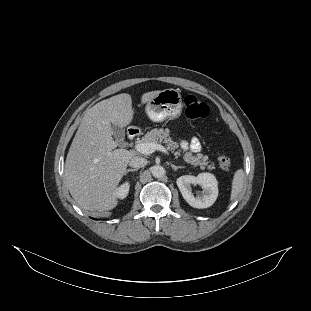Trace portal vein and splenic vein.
<instances>
[{"label":"portal vein and splenic vein","mask_w":311,"mask_h":311,"mask_svg":"<svg viewBox=\"0 0 311 311\" xmlns=\"http://www.w3.org/2000/svg\"><path fill=\"white\" fill-rule=\"evenodd\" d=\"M133 148L135 151L141 153V154H145V155H149L155 151H159L162 152L163 154H165L168 157H171V153L170 151L164 147L161 144H155V143H135L133 145Z\"/></svg>","instance_id":"obj_1"}]
</instances>
